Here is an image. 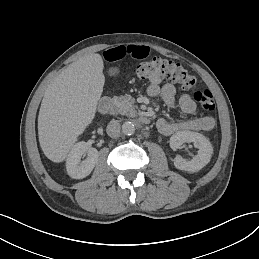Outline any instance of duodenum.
Instances as JSON below:
<instances>
[{"instance_id": "duodenum-1", "label": "duodenum", "mask_w": 259, "mask_h": 259, "mask_svg": "<svg viewBox=\"0 0 259 259\" xmlns=\"http://www.w3.org/2000/svg\"><path fill=\"white\" fill-rule=\"evenodd\" d=\"M99 111L104 115H110L116 113V105L114 101L109 97H103L98 103ZM139 120L143 124H149L150 118L146 115H140Z\"/></svg>"}]
</instances>
